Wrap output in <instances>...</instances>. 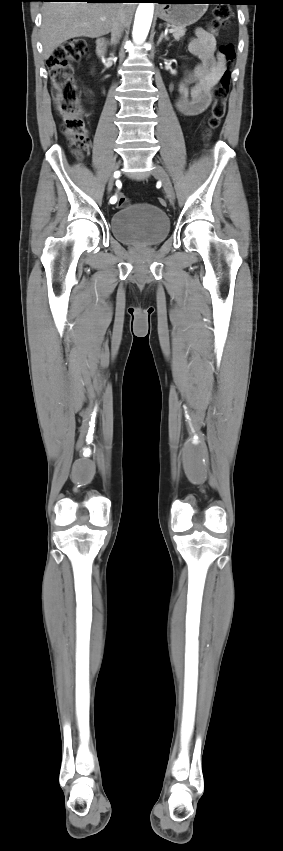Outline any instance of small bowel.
<instances>
[{
    "label": "small bowel",
    "instance_id": "obj_1",
    "mask_svg": "<svg viewBox=\"0 0 283 851\" xmlns=\"http://www.w3.org/2000/svg\"><path fill=\"white\" fill-rule=\"evenodd\" d=\"M188 47L200 59V63L190 75L194 83L190 98L179 99L176 108L185 116H195L209 107L213 89L224 73L226 63L223 56L216 52V32L211 28L196 29Z\"/></svg>",
    "mask_w": 283,
    "mask_h": 851
}]
</instances>
